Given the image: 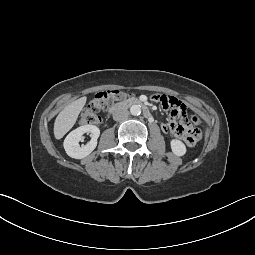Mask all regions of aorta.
Here are the masks:
<instances>
[{
	"label": "aorta",
	"mask_w": 255,
	"mask_h": 255,
	"mask_svg": "<svg viewBox=\"0 0 255 255\" xmlns=\"http://www.w3.org/2000/svg\"><path fill=\"white\" fill-rule=\"evenodd\" d=\"M130 113L134 116H138L141 113L140 105H132L130 108Z\"/></svg>",
	"instance_id": "1"
}]
</instances>
